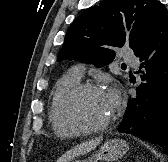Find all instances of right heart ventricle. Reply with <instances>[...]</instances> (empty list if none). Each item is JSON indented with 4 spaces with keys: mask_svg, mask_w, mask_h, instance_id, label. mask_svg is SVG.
Instances as JSON below:
<instances>
[{
    "mask_svg": "<svg viewBox=\"0 0 168 162\" xmlns=\"http://www.w3.org/2000/svg\"><path fill=\"white\" fill-rule=\"evenodd\" d=\"M80 78L71 70L63 75L56 83L51 96L49 107V120L53 130L58 136L72 137L81 133V131L70 125L61 115L60 104L63 96L68 90L77 85Z\"/></svg>",
    "mask_w": 168,
    "mask_h": 162,
    "instance_id": "e07e8e85",
    "label": "right heart ventricle"
}]
</instances>
